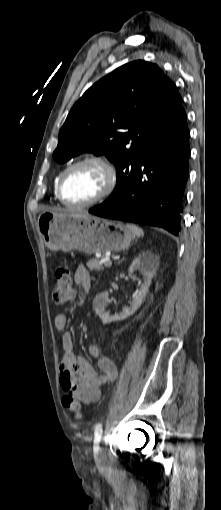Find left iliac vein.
<instances>
[{"mask_svg": "<svg viewBox=\"0 0 221 510\" xmlns=\"http://www.w3.org/2000/svg\"><path fill=\"white\" fill-rule=\"evenodd\" d=\"M102 460H103V451L101 448L98 449V452H97V457H96V462L98 465H101L102 463Z\"/></svg>", "mask_w": 221, "mask_h": 510, "instance_id": "4c4485c4", "label": "left iliac vein"}]
</instances>
